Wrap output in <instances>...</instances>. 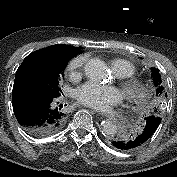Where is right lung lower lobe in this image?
<instances>
[{
  "instance_id": "obj_1",
  "label": "right lung lower lobe",
  "mask_w": 177,
  "mask_h": 177,
  "mask_svg": "<svg viewBox=\"0 0 177 177\" xmlns=\"http://www.w3.org/2000/svg\"><path fill=\"white\" fill-rule=\"evenodd\" d=\"M57 97L14 86L12 105L18 123L34 137L59 131L67 121V114L61 105L56 107Z\"/></svg>"
}]
</instances>
